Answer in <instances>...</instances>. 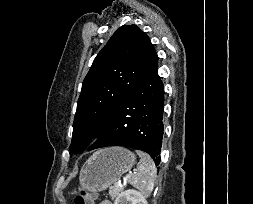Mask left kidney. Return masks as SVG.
<instances>
[{"mask_svg":"<svg viewBox=\"0 0 253 204\" xmlns=\"http://www.w3.org/2000/svg\"><path fill=\"white\" fill-rule=\"evenodd\" d=\"M114 204H148L145 196L134 189L121 192L115 199Z\"/></svg>","mask_w":253,"mask_h":204,"instance_id":"left-kidney-1","label":"left kidney"}]
</instances>
